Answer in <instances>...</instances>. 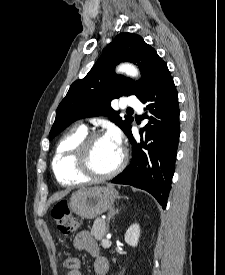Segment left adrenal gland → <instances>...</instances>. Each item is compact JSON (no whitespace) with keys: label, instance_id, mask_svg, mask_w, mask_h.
<instances>
[{"label":"left adrenal gland","instance_id":"left-adrenal-gland-1","mask_svg":"<svg viewBox=\"0 0 225 275\" xmlns=\"http://www.w3.org/2000/svg\"><path fill=\"white\" fill-rule=\"evenodd\" d=\"M119 212V210H115L114 208H112L109 213H108V218H107V231L109 230V223L110 220L114 218V216Z\"/></svg>","mask_w":225,"mask_h":275}]
</instances>
